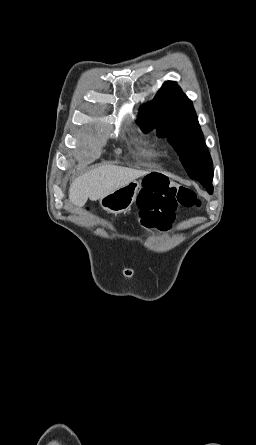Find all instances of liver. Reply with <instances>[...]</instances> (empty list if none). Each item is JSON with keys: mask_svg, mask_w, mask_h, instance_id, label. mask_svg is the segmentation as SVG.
<instances>
[{"mask_svg": "<svg viewBox=\"0 0 256 445\" xmlns=\"http://www.w3.org/2000/svg\"><path fill=\"white\" fill-rule=\"evenodd\" d=\"M144 170L105 165L76 178L69 188V199L77 207H82L88 198L97 201L107 194L127 185L135 179L147 175Z\"/></svg>", "mask_w": 256, "mask_h": 445, "instance_id": "liver-1", "label": "liver"}]
</instances>
